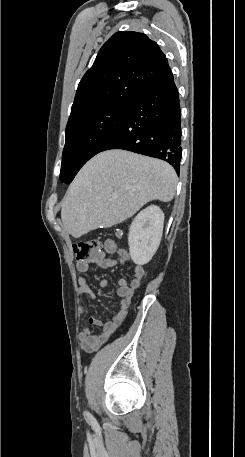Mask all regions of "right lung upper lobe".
Segmentation results:
<instances>
[{"label":"right lung upper lobe","mask_w":245,"mask_h":457,"mask_svg":"<svg viewBox=\"0 0 245 457\" xmlns=\"http://www.w3.org/2000/svg\"><path fill=\"white\" fill-rule=\"evenodd\" d=\"M171 76L167 58L154 41L142 33L117 32L80 81L69 119L115 101L133 103L148 87Z\"/></svg>","instance_id":"1"}]
</instances>
